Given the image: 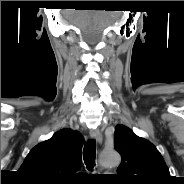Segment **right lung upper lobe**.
I'll use <instances>...</instances> for the list:
<instances>
[{
	"label": "right lung upper lobe",
	"instance_id": "cb5924a9",
	"mask_svg": "<svg viewBox=\"0 0 184 184\" xmlns=\"http://www.w3.org/2000/svg\"><path fill=\"white\" fill-rule=\"evenodd\" d=\"M83 141L79 132L61 129L36 145L18 171L31 182L69 183L81 167Z\"/></svg>",
	"mask_w": 184,
	"mask_h": 184
}]
</instances>
